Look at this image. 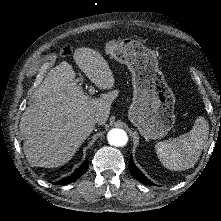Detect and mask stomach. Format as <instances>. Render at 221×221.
<instances>
[{
  "label": "stomach",
  "instance_id": "obj_1",
  "mask_svg": "<svg viewBox=\"0 0 221 221\" xmlns=\"http://www.w3.org/2000/svg\"><path fill=\"white\" fill-rule=\"evenodd\" d=\"M106 53L128 66L133 99L128 118L146 139H161L175 123V96L163 81L156 58L139 42L110 41Z\"/></svg>",
  "mask_w": 221,
  "mask_h": 221
}]
</instances>
